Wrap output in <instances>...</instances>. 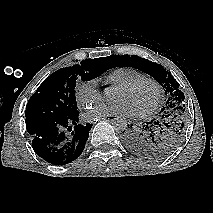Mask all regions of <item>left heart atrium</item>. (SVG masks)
<instances>
[{
  "mask_svg": "<svg viewBox=\"0 0 213 213\" xmlns=\"http://www.w3.org/2000/svg\"><path fill=\"white\" fill-rule=\"evenodd\" d=\"M133 113L127 103L119 101L114 104H98L91 107L85 114V119L95 120L107 116H130Z\"/></svg>",
  "mask_w": 213,
  "mask_h": 213,
  "instance_id": "39dd6f15",
  "label": "left heart atrium"
}]
</instances>
